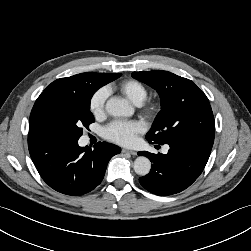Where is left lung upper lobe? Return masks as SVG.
Instances as JSON below:
<instances>
[{
	"label": "left lung upper lobe",
	"instance_id": "obj_1",
	"mask_svg": "<svg viewBox=\"0 0 251 251\" xmlns=\"http://www.w3.org/2000/svg\"><path fill=\"white\" fill-rule=\"evenodd\" d=\"M132 77L154 88L161 98V111L146 134L148 141L163 145L186 137L214 136L209 100L191 80L168 71L133 72Z\"/></svg>",
	"mask_w": 251,
	"mask_h": 251
}]
</instances>
